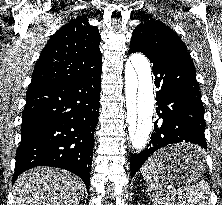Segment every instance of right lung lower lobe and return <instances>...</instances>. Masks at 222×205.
Segmentation results:
<instances>
[{
    "instance_id": "right-lung-lower-lobe-1",
    "label": "right lung lower lobe",
    "mask_w": 222,
    "mask_h": 205,
    "mask_svg": "<svg viewBox=\"0 0 222 205\" xmlns=\"http://www.w3.org/2000/svg\"><path fill=\"white\" fill-rule=\"evenodd\" d=\"M101 68L80 79L29 87L12 178L35 166H53L90 185L99 114Z\"/></svg>"
}]
</instances>
